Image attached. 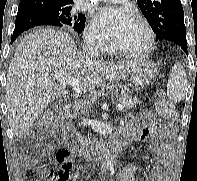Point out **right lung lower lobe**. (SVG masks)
Masks as SVG:
<instances>
[{
  "instance_id": "obj_1",
  "label": "right lung lower lobe",
  "mask_w": 197,
  "mask_h": 181,
  "mask_svg": "<svg viewBox=\"0 0 197 181\" xmlns=\"http://www.w3.org/2000/svg\"><path fill=\"white\" fill-rule=\"evenodd\" d=\"M42 25L62 27L61 22L47 12L37 7L20 5L16 16L15 30L12 35L11 43H13L24 31Z\"/></svg>"
}]
</instances>
